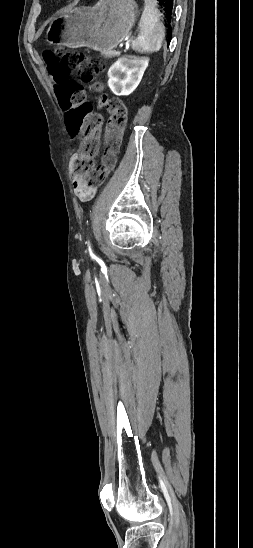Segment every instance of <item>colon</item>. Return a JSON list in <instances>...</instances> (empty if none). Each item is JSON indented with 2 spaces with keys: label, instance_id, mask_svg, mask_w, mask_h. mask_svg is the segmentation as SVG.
Here are the masks:
<instances>
[{
  "label": "colon",
  "instance_id": "1",
  "mask_svg": "<svg viewBox=\"0 0 253 548\" xmlns=\"http://www.w3.org/2000/svg\"><path fill=\"white\" fill-rule=\"evenodd\" d=\"M44 59L47 63L46 72L50 74L49 80L54 83L58 103L65 112L68 134L83 136L73 160V171L83 176L90 185L99 186L105 182L116 165V155L126 126V106L117 97L105 94L100 96L98 106L106 109L109 117L104 131L105 150L101 163L96 165L94 158L98 152L103 120L85 100L84 87L75 82V77L69 72H75L83 83L91 84L96 91L101 92L103 85L94 80L101 71L102 64L83 52L62 47L46 51Z\"/></svg>",
  "mask_w": 253,
  "mask_h": 548
}]
</instances>
